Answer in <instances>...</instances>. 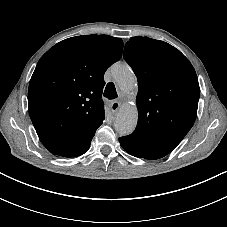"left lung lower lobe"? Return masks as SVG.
Listing matches in <instances>:
<instances>
[{"label":"left lung lower lobe","instance_id":"1","mask_svg":"<svg viewBox=\"0 0 227 227\" xmlns=\"http://www.w3.org/2000/svg\"><path fill=\"white\" fill-rule=\"evenodd\" d=\"M119 142L125 151L135 157L145 159H158L167 155L166 153L160 152L152 146L141 144L135 139L128 136L120 137Z\"/></svg>","mask_w":227,"mask_h":227}]
</instances>
